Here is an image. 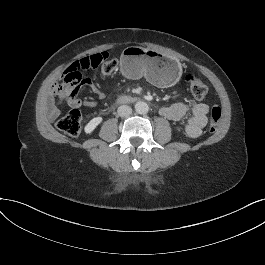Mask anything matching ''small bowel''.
<instances>
[{
	"label": "small bowel",
	"instance_id": "c3829d8e",
	"mask_svg": "<svg viewBox=\"0 0 265 265\" xmlns=\"http://www.w3.org/2000/svg\"><path fill=\"white\" fill-rule=\"evenodd\" d=\"M89 88L99 99L105 98V93L101 91L91 79H83L82 82L74 88H66L60 84H56L53 88V96L56 103L61 104L66 102L72 108H79L81 106L91 107L94 105L92 100L82 101L78 97L79 91L83 88ZM209 107L204 102H198L193 106H188L183 103H176L168 107H163L161 114L173 121H180L187 118L184 128L185 134L190 138H197L201 135L203 127L207 123V113ZM59 109L55 104H51L49 110V117L54 119L58 116Z\"/></svg>",
	"mask_w": 265,
	"mask_h": 265
}]
</instances>
